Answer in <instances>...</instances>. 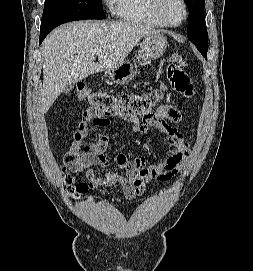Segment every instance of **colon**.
Here are the masks:
<instances>
[{
	"instance_id": "5ec220e1",
	"label": "colon",
	"mask_w": 253,
	"mask_h": 271,
	"mask_svg": "<svg viewBox=\"0 0 253 271\" xmlns=\"http://www.w3.org/2000/svg\"><path fill=\"white\" fill-rule=\"evenodd\" d=\"M170 76L175 89L180 94L191 97L194 93V87L190 79L182 71L186 68L187 62L179 53L171 56ZM164 96L163 88H155L142 93H120L112 94L106 92H93L85 84H78L75 97L79 101L87 100L92 107V111L106 115L115 112L124 114H145L154 109ZM64 183L69 193L84 192L86 183L80 181L75 175L65 174Z\"/></svg>"
}]
</instances>
